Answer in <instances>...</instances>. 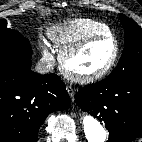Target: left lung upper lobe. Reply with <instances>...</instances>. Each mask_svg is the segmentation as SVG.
<instances>
[{
    "mask_svg": "<svg viewBox=\"0 0 142 142\" xmlns=\"http://www.w3.org/2000/svg\"><path fill=\"white\" fill-rule=\"evenodd\" d=\"M125 29V48L117 67L108 78L142 73V29L128 17L119 14Z\"/></svg>",
    "mask_w": 142,
    "mask_h": 142,
    "instance_id": "1",
    "label": "left lung upper lobe"
}]
</instances>
